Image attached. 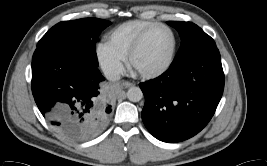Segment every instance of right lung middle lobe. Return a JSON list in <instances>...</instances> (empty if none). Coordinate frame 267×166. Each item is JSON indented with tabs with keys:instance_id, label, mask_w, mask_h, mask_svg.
Segmentation results:
<instances>
[{
	"instance_id": "1",
	"label": "right lung middle lobe",
	"mask_w": 267,
	"mask_h": 166,
	"mask_svg": "<svg viewBox=\"0 0 267 166\" xmlns=\"http://www.w3.org/2000/svg\"><path fill=\"white\" fill-rule=\"evenodd\" d=\"M111 24L98 18L63 21L53 26L37 44L64 48L98 66L95 43L101 31Z\"/></svg>"
}]
</instances>
